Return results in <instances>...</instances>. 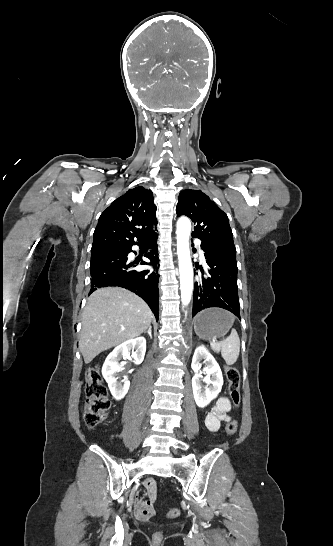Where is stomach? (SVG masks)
<instances>
[{"label": "stomach", "mask_w": 333, "mask_h": 546, "mask_svg": "<svg viewBox=\"0 0 333 546\" xmlns=\"http://www.w3.org/2000/svg\"><path fill=\"white\" fill-rule=\"evenodd\" d=\"M234 319L222 309L210 308L199 313L194 319L196 335L203 340L224 337L232 327Z\"/></svg>", "instance_id": "1"}]
</instances>
